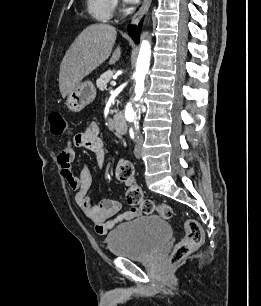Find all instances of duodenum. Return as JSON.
I'll use <instances>...</instances> for the list:
<instances>
[{
	"label": "duodenum",
	"instance_id": "1",
	"mask_svg": "<svg viewBox=\"0 0 261 306\" xmlns=\"http://www.w3.org/2000/svg\"><path fill=\"white\" fill-rule=\"evenodd\" d=\"M112 125L114 129L119 133H126L127 132V123L123 115L119 112H115L112 115Z\"/></svg>",
	"mask_w": 261,
	"mask_h": 306
}]
</instances>
